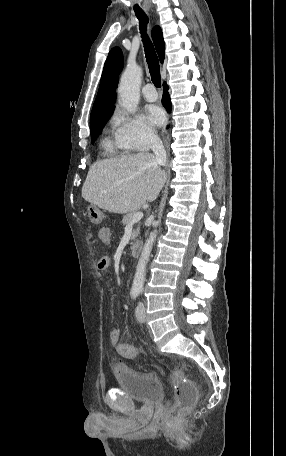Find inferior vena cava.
<instances>
[{
  "label": "inferior vena cava",
  "mask_w": 286,
  "mask_h": 456,
  "mask_svg": "<svg viewBox=\"0 0 286 456\" xmlns=\"http://www.w3.org/2000/svg\"><path fill=\"white\" fill-rule=\"evenodd\" d=\"M150 143L157 162L164 165L166 163V151L160 137L156 133L150 134Z\"/></svg>",
  "instance_id": "obj_1"
}]
</instances>
